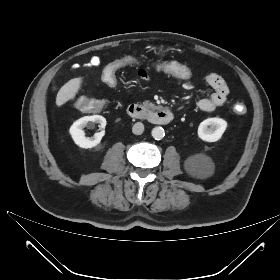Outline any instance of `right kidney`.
I'll list each match as a JSON object with an SVG mask.
<instances>
[{
	"label": "right kidney",
	"mask_w": 280,
	"mask_h": 280,
	"mask_svg": "<svg viewBox=\"0 0 280 280\" xmlns=\"http://www.w3.org/2000/svg\"><path fill=\"white\" fill-rule=\"evenodd\" d=\"M94 123L100 124L101 132L96 133L93 137H87L84 128L93 127ZM106 126V119L100 115L84 116L75 121L69 129V132L75 142L81 148H92L100 143L105 134L104 128Z\"/></svg>",
	"instance_id": "ca27d5eb"
}]
</instances>
